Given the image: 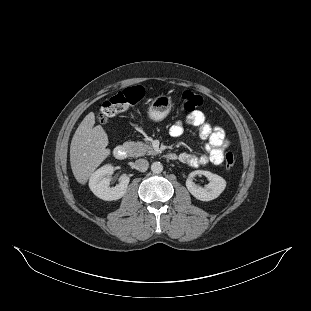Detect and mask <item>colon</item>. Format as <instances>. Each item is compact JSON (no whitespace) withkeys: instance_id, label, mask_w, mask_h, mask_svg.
Masks as SVG:
<instances>
[{"instance_id":"1","label":"colon","mask_w":311,"mask_h":311,"mask_svg":"<svg viewBox=\"0 0 311 311\" xmlns=\"http://www.w3.org/2000/svg\"><path fill=\"white\" fill-rule=\"evenodd\" d=\"M142 98L143 90L140 87L127 88L103 103L99 119L102 122H107L111 118L136 106ZM202 103V97L191 90H186L181 94L180 104L182 110L185 112H193L200 107ZM235 162L234 154L231 152L226 153L224 161L226 169L233 168Z\"/></svg>"}]
</instances>
